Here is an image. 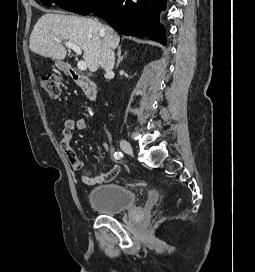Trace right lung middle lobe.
Returning a JSON list of instances; mask_svg holds the SVG:
<instances>
[{"instance_id":"dd1d6c3e","label":"right lung middle lobe","mask_w":255,"mask_h":272,"mask_svg":"<svg viewBox=\"0 0 255 272\" xmlns=\"http://www.w3.org/2000/svg\"><path fill=\"white\" fill-rule=\"evenodd\" d=\"M100 1L101 0H41V2L46 6H50L52 3H55L68 11L81 15L91 13Z\"/></svg>"}]
</instances>
